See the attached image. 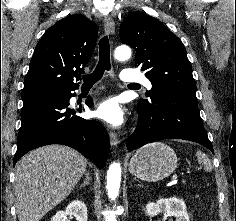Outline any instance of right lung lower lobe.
<instances>
[{"instance_id": "1", "label": "right lung lower lobe", "mask_w": 236, "mask_h": 221, "mask_svg": "<svg viewBox=\"0 0 236 221\" xmlns=\"http://www.w3.org/2000/svg\"><path fill=\"white\" fill-rule=\"evenodd\" d=\"M65 90L62 96H42L23 101L21 128L17 140L14 164L27 152L50 144H63L81 152L100 169L106 163L109 152V138L106 129L96 121L76 116L82 107H69V100L75 94ZM86 104L91 107L92 99Z\"/></svg>"}]
</instances>
